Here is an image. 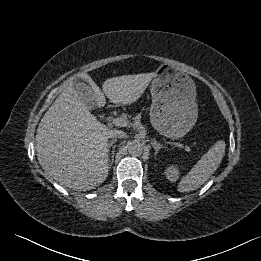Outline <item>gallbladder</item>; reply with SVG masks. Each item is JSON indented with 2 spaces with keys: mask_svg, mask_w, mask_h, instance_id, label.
<instances>
[{
  "mask_svg": "<svg viewBox=\"0 0 261 261\" xmlns=\"http://www.w3.org/2000/svg\"><path fill=\"white\" fill-rule=\"evenodd\" d=\"M73 85L75 90L80 95L82 101L86 104L87 108L89 110L95 109L96 101H95L94 92L92 91L91 87L86 83L79 81L78 79H75L73 81Z\"/></svg>",
  "mask_w": 261,
  "mask_h": 261,
  "instance_id": "1",
  "label": "gallbladder"
}]
</instances>
